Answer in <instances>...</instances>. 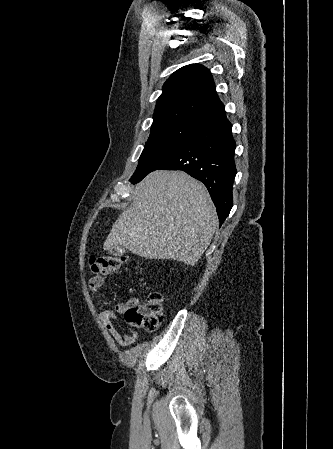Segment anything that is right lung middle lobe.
<instances>
[{
  "label": "right lung middle lobe",
  "instance_id": "right-lung-middle-lobe-1",
  "mask_svg": "<svg viewBox=\"0 0 333 449\" xmlns=\"http://www.w3.org/2000/svg\"><path fill=\"white\" fill-rule=\"evenodd\" d=\"M202 129L187 124L166 125L151 131L130 181L146 176L161 160Z\"/></svg>",
  "mask_w": 333,
  "mask_h": 449
}]
</instances>
